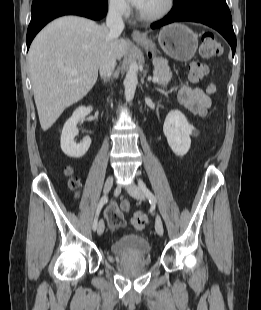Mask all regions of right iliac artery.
Here are the masks:
<instances>
[{"label": "right iliac artery", "instance_id": "1", "mask_svg": "<svg viewBox=\"0 0 261 310\" xmlns=\"http://www.w3.org/2000/svg\"><path fill=\"white\" fill-rule=\"evenodd\" d=\"M107 202V196H103L100 200V202L98 203V206H97V210H96V214H95V218H94V221H93V224H92V229L94 231H96L97 229V225H98V217H99V214H100V211L102 209V207L104 206V204Z\"/></svg>", "mask_w": 261, "mask_h": 310}]
</instances>
